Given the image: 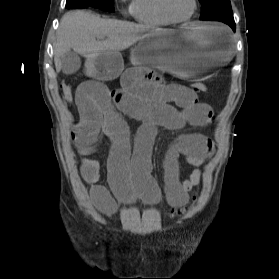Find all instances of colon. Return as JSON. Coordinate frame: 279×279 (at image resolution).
Masks as SVG:
<instances>
[{
    "mask_svg": "<svg viewBox=\"0 0 279 279\" xmlns=\"http://www.w3.org/2000/svg\"><path fill=\"white\" fill-rule=\"evenodd\" d=\"M191 90L194 93H203L207 91V86L204 83L198 82V83H194L191 86ZM61 91H62V97L64 99V101L66 102H71L74 99V91H73V87L70 84H62L61 85ZM181 212L180 211H176L173 210L170 212V215L172 217L179 215Z\"/></svg>",
    "mask_w": 279,
    "mask_h": 279,
    "instance_id": "5ec220e1",
    "label": "colon"
}]
</instances>
